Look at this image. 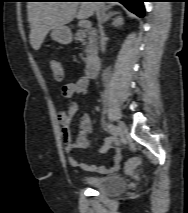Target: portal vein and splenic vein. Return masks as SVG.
<instances>
[{
	"label": "portal vein and splenic vein",
	"mask_w": 188,
	"mask_h": 213,
	"mask_svg": "<svg viewBox=\"0 0 188 213\" xmlns=\"http://www.w3.org/2000/svg\"><path fill=\"white\" fill-rule=\"evenodd\" d=\"M82 24H83V27H84L85 29H88V28L91 27V22L88 21V20H83V21H82Z\"/></svg>",
	"instance_id": "portal-vein-and-splenic-vein-1"
}]
</instances>
